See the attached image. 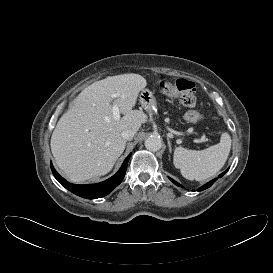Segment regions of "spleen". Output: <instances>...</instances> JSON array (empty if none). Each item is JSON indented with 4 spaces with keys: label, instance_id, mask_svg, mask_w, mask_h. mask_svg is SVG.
<instances>
[{
    "label": "spleen",
    "instance_id": "obj_1",
    "mask_svg": "<svg viewBox=\"0 0 273 273\" xmlns=\"http://www.w3.org/2000/svg\"><path fill=\"white\" fill-rule=\"evenodd\" d=\"M231 149V137L222 133L220 142L204 150H188L176 147L174 166L188 180L203 181L214 176L225 164Z\"/></svg>",
    "mask_w": 273,
    "mask_h": 273
}]
</instances>
